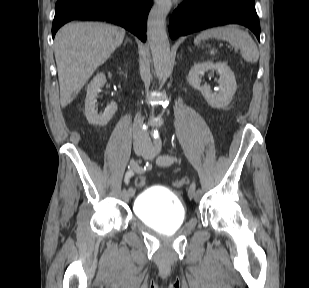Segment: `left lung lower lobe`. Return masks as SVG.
<instances>
[{"label":"left lung lower lobe","instance_id":"left-lung-lower-lobe-1","mask_svg":"<svg viewBox=\"0 0 309 288\" xmlns=\"http://www.w3.org/2000/svg\"><path fill=\"white\" fill-rule=\"evenodd\" d=\"M224 24L244 25L260 41L254 0H185L172 14L169 33L175 39Z\"/></svg>","mask_w":309,"mask_h":288}]
</instances>
